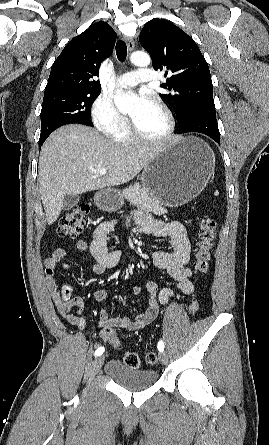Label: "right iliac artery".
Here are the masks:
<instances>
[{"instance_id":"82829eb1","label":"right iliac artery","mask_w":269,"mask_h":445,"mask_svg":"<svg viewBox=\"0 0 269 445\" xmlns=\"http://www.w3.org/2000/svg\"><path fill=\"white\" fill-rule=\"evenodd\" d=\"M104 347H99L96 351H95V356H99L104 352Z\"/></svg>"}]
</instances>
